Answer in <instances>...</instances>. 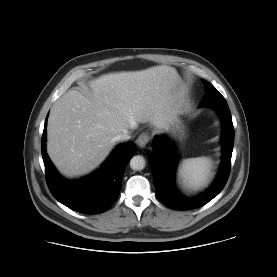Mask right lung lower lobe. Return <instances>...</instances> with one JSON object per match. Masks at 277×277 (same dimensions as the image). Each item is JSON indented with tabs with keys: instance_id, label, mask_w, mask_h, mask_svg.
<instances>
[{
	"instance_id": "1",
	"label": "right lung lower lobe",
	"mask_w": 277,
	"mask_h": 277,
	"mask_svg": "<svg viewBox=\"0 0 277 277\" xmlns=\"http://www.w3.org/2000/svg\"><path fill=\"white\" fill-rule=\"evenodd\" d=\"M46 125L47 118L41 147L46 181L52 195L80 213L99 214L108 210L119 196L124 171L135 153L134 142L118 145L102 167L91 175L79 181H68L59 175L46 153Z\"/></svg>"
}]
</instances>
